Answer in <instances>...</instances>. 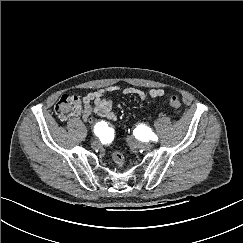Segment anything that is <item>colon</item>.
<instances>
[{
  "label": "colon",
  "mask_w": 243,
  "mask_h": 243,
  "mask_svg": "<svg viewBox=\"0 0 243 243\" xmlns=\"http://www.w3.org/2000/svg\"><path fill=\"white\" fill-rule=\"evenodd\" d=\"M81 98L77 95H62L55 105V113L58 118L65 120L68 117L72 116L75 111L79 109L81 106ZM169 105L174 109L176 113H180L181 111V101L177 96H170L168 98ZM114 162L119 168L124 166V156L121 152L115 151L112 155Z\"/></svg>",
  "instance_id": "1"
}]
</instances>
